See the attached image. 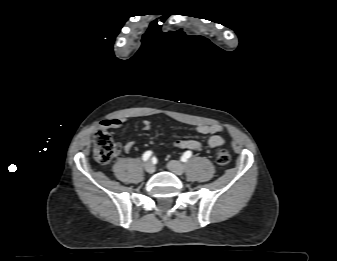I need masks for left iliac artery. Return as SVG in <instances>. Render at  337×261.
Here are the masks:
<instances>
[{"instance_id":"44dca946","label":"left iliac artery","mask_w":337,"mask_h":261,"mask_svg":"<svg viewBox=\"0 0 337 261\" xmlns=\"http://www.w3.org/2000/svg\"><path fill=\"white\" fill-rule=\"evenodd\" d=\"M192 156L191 151H186L182 157V161H185L186 159L190 158Z\"/></svg>"}]
</instances>
